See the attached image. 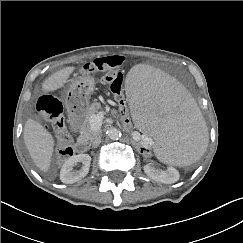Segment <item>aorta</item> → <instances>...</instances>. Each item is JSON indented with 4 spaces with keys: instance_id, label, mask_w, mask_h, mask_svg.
<instances>
[{
    "instance_id": "aorta-1",
    "label": "aorta",
    "mask_w": 243,
    "mask_h": 243,
    "mask_svg": "<svg viewBox=\"0 0 243 243\" xmlns=\"http://www.w3.org/2000/svg\"><path fill=\"white\" fill-rule=\"evenodd\" d=\"M106 135L110 138V139H118L121 137V132L119 129H117L116 127H110L107 129L106 131Z\"/></svg>"
}]
</instances>
